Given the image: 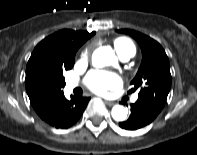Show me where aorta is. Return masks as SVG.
I'll return each mask as SVG.
<instances>
[{
	"instance_id": "762f6f07",
	"label": "aorta",
	"mask_w": 197,
	"mask_h": 155,
	"mask_svg": "<svg viewBox=\"0 0 197 155\" xmlns=\"http://www.w3.org/2000/svg\"><path fill=\"white\" fill-rule=\"evenodd\" d=\"M114 60V52L108 46L100 47L96 49L92 54V64L98 68L109 65ZM111 114L115 121H124L127 118L128 110L122 105H115L112 108Z\"/></svg>"
}]
</instances>
